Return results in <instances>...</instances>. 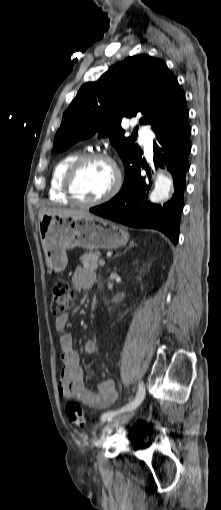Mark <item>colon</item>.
Returning <instances> with one entry per match:
<instances>
[{
    "label": "colon",
    "instance_id": "obj_1",
    "mask_svg": "<svg viewBox=\"0 0 221 510\" xmlns=\"http://www.w3.org/2000/svg\"><path fill=\"white\" fill-rule=\"evenodd\" d=\"M75 298L76 293L70 283L63 279L57 280L53 287L51 301V311L53 315H62L73 306ZM66 413L71 424L80 428L85 427V413L76 401L71 400L66 404Z\"/></svg>",
    "mask_w": 221,
    "mask_h": 510
}]
</instances>
